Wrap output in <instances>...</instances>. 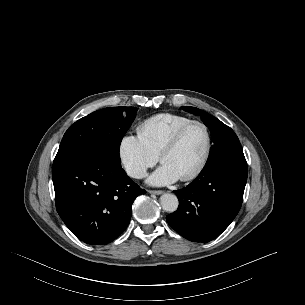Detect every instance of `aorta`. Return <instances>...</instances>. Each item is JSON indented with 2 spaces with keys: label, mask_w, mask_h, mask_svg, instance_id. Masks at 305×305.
I'll use <instances>...</instances> for the list:
<instances>
[{
  "label": "aorta",
  "mask_w": 305,
  "mask_h": 305,
  "mask_svg": "<svg viewBox=\"0 0 305 305\" xmlns=\"http://www.w3.org/2000/svg\"><path fill=\"white\" fill-rule=\"evenodd\" d=\"M160 204L166 212H175L178 208L179 202L176 195L165 193L160 197Z\"/></svg>",
  "instance_id": "1"
}]
</instances>
